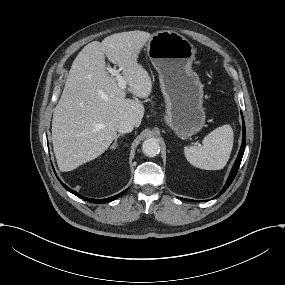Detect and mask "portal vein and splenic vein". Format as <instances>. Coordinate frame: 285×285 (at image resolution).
<instances>
[{"instance_id": "18ae733b", "label": "portal vein and splenic vein", "mask_w": 285, "mask_h": 285, "mask_svg": "<svg viewBox=\"0 0 285 285\" xmlns=\"http://www.w3.org/2000/svg\"><path fill=\"white\" fill-rule=\"evenodd\" d=\"M122 69L119 68V69H113V68H109L108 71L109 73L112 75V76H115L116 77V80L118 82V87L121 88V89H125L126 88V85H127V82L126 80L124 79V77L120 74V71Z\"/></svg>"}]
</instances>
